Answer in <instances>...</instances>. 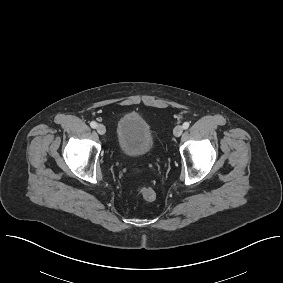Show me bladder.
<instances>
[{"label": "bladder", "instance_id": "bladder-1", "mask_svg": "<svg viewBox=\"0 0 283 283\" xmlns=\"http://www.w3.org/2000/svg\"><path fill=\"white\" fill-rule=\"evenodd\" d=\"M154 147V135L146 119L137 113H126L116 127V148L120 156L136 158Z\"/></svg>", "mask_w": 283, "mask_h": 283}]
</instances>
